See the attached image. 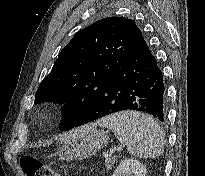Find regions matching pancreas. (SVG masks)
<instances>
[{
  "mask_svg": "<svg viewBox=\"0 0 205 176\" xmlns=\"http://www.w3.org/2000/svg\"><path fill=\"white\" fill-rule=\"evenodd\" d=\"M116 161V157L115 156H106L105 157V167H106V170L109 171L112 167V165L115 163Z\"/></svg>",
  "mask_w": 205,
  "mask_h": 176,
  "instance_id": "obj_1",
  "label": "pancreas"
}]
</instances>
